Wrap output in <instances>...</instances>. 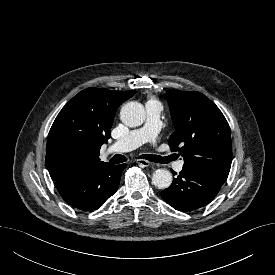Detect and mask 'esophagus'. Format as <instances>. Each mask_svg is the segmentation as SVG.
Listing matches in <instances>:
<instances>
[{
    "label": "esophagus",
    "instance_id": "obj_1",
    "mask_svg": "<svg viewBox=\"0 0 275 275\" xmlns=\"http://www.w3.org/2000/svg\"><path fill=\"white\" fill-rule=\"evenodd\" d=\"M137 163L143 167H148L151 165V163L147 160H144V159H138L137 160Z\"/></svg>",
    "mask_w": 275,
    "mask_h": 275
}]
</instances>
